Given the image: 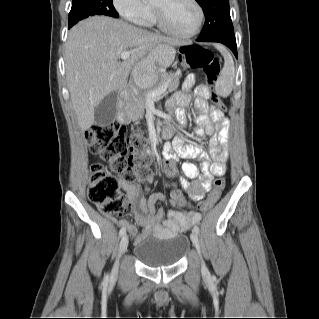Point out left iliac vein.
<instances>
[{"label": "left iliac vein", "mask_w": 319, "mask_h": 319, "mask_svg": "<svg viewBox=\"0 0 319 319\" xmlns=\"http://www.w3.org/2000/svg\"><path fill=\"white\" fill-rule=\"evenodd\" d=\"M190 237H191V240H192L194 246H195L196 249L199 251L200 248H199V240H198L197 233H195V232L193 231V232L191 233ZM201 269H202V272H203V273H207V271H208V270H207V267L205 266V264H204L203 262L201 263Z\"/></svg>", "instance_id": "1"}]
</instances>
